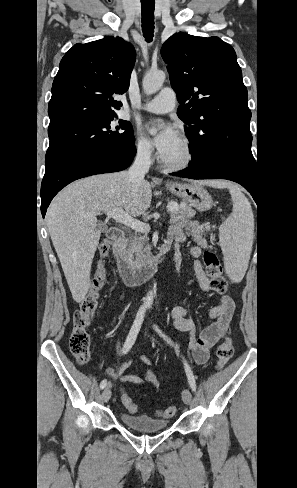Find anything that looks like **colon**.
Wrapping results in <instances>:
<instances>
[{"label": "colon", "instance_id": "5ec220e1", "mask_svg": "<svg viewBox=\"0 0 297 488\" xmlns=\"http://www.w3.org/2000/svg\"><path fill=\"white\" fill-rule=\"evenodd\" d=\"M110 245L103 242L98 247L99 259L97 261L96 272L90 286V289L79 307L73 315V331L70 337V350L77 362L84 365L90 357L91 338L88 328L98 306L99 292L105 282L104 259L108 255ZM204 265L207 276L210 280L212 289L218 293H224L228 288L227 280L223 273V267L218 257L211 251L204 253ZM233 354V346L229 337H226L216 350V367L223 368L230 360ZM119 396L121 402L131 413H136L138 407L128 396L127 391L120 390ZM176 413L175 406H169L164 410L158 411L157 416L161 418H171Z\"/></svg>", "mask_w": 297, "mask_h": 488}]
</instances>
